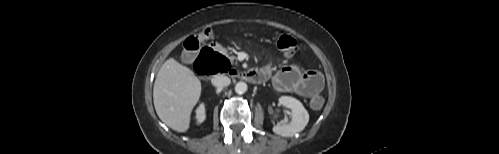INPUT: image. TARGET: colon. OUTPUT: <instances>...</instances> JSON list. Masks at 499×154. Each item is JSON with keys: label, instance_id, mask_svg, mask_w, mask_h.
I'll return each instance as SVG.
<instances>
[{"label": "colon", "instance_id": "colon-1", "mask_svg": "<svg viewBox=\"0 0 499 154\" xmlns=\"http://www.w3.org/2000/svg\"><path fill=\"white\" fill-rule=\"evenodd\" d=\"M212 33L210 30H204L186 40V52L188 56L191 51L198 49L201 41L209 39ZM277 48L287 57H293L298 52V45L296 40L287 33L279 32L275 36ZM217 71H228L230 69L229 61L222 55L217 54L215 60ZM310 106L314 110H319L323 106V99L320 96H313L310 99Z\"/></svg>", "mask_w": 499, "mask_h": 154}]
</instances>
